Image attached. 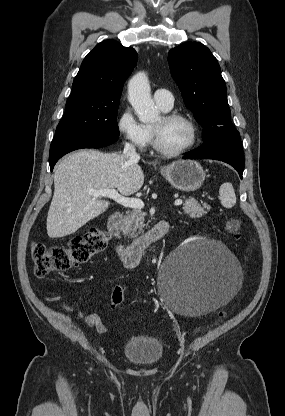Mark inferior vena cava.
I'll return each instance as SVG.
<instances>
[{
  "label": "inferior vena cava",
  "instance_id": "obj_1",
  "mask_svg": "<svg viewBox=\"0 0 285 416\" xmlns=\"http://www.w3.org/2000/svg\"><path fill=\"white\" fill-rule=\"evenodd\" d=\"M123 156H125L131 164H137L140 160L139 154H136L135 146H131V144H125Z\"/></svg>",
  "mask_w": 285,
  "mask_h": 416
}]
</instances>
